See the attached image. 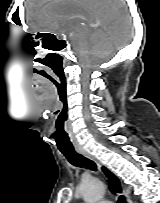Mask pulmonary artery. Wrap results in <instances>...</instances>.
I'll list each match as a JSON object with an SVG mask.
<instances>
[{"mask_svg":"<svg viewBox=\"0 0 160 203\" xmlns=\"http://www.w3.org/2000/svg\"><path fill=\"white\" fill-rule=\"evenodd\" d=\"M100 203H111V202H109V201H105V202H100Z\"/></svg>","mask_w":160,"mask_h":203,"instance_id":"1","label":"pulmonary artery"}]
</instances>
